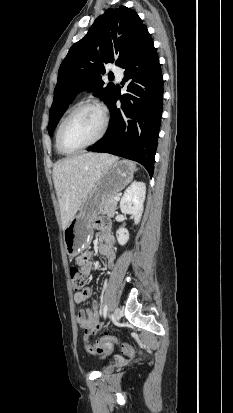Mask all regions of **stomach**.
<instances>
[{
    "label": "stomach",
    "mask_w": 233,
    "mask_h": 413,
    "mask_svg": "<svg viewBox=\"0 0 233 413\" xmlns=\"http://www.w3.org/2000/svg\"><path fill=\"white\" fill-rule=\"evenodd\" d=\"M135 166L126 160L110 164L96 181L85 200L66 228L63 239L66 252L75 257L86 247L92 235V220L100 214L101 202L111 195H116L133 179Z\"/></svg>",
    "instance_id": "stomach-1"
}]
</instances>
